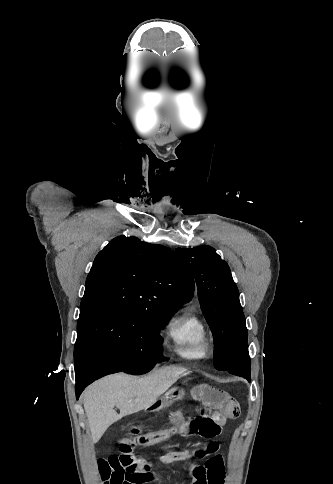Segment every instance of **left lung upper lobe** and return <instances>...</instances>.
<instances>
[{
    "label": "left lung upper lobe",
    "mask_w": 333,
    "mask_h": 484,
    "mask_svg": "<svg viewBox=\"0 0 333 484\" xmlns=\"http://www.w3.org/2000/svg\"><path fill=\"white\" fill-rule=\"evenodd\" d=\"M197 283L202 312L215 341L214 362L217 370L250 376L246 369L232 363V354L247 341L245 317L239 292L228 264L210 246L177 248Z\"/></svg>",
    "instance_id": "left-lung-upper-lobe-1"
}]
</instances>
